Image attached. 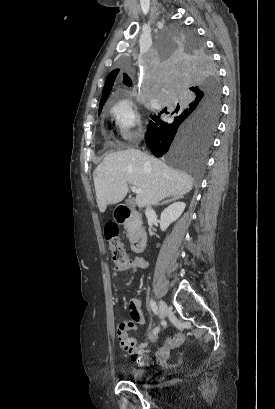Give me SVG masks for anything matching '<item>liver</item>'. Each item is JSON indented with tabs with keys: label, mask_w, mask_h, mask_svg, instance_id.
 Returning a JSON list of instances; mask_svg holds the SVG:
<instances>
[{
	"label": "liver",
	"mask_w": 275,
	"mask_h": 409,
	"mask_svg": "<svg viewBox=\"0 0 275 409\" xmlns=\"http://www.w3.org/2000/svg\"><path fill=\"white\" fill-rule=\"evenodd\" d=\"M97 205L100 213L107 205H115L125 198L129 184L141 188L136 196L138 207L157 205L164 196H183L193 186L187 172L175 170L163 160L138 148L117 150L104 156L93 172Z\"/></svg>",
	"instance_id": "obj_1"
}]
</instances>
